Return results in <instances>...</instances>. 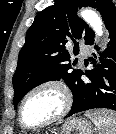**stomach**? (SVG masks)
<instances>
[{
	"instance_id": "1",
	"label": "stomach",
	"mask_w": 116,
	"mask_h": 134,
	"mask_svg": "<svg viewBox=\"0 0 116 134\" xmlns=\"http://www.w3.org/2000/svg\"><path fill=\"white\" fill-rule=\"evenodd\" d=\"M52 134H92V126L87 119L76 117L67 120L60 131L52 130Z\"/></svg>"
}]
</instances>
